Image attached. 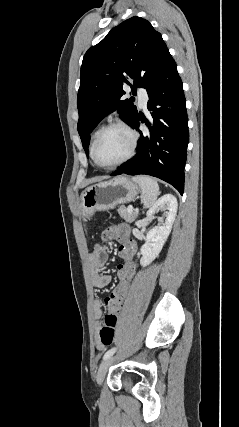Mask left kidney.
I'll use <instances>...</instances> for the list:
<instances>
[{
  "mask_svg": "<svg viewBox=\"0 0 239 427\" xmlns=\"http://www.w3.org/2000/svg\"><path fill=\"white\" fill-rule=\"evenodd\" d=\"M177 207V199L171 194H166L148 210L147 217L149 218L158 210L168 211L165 222L162 225L152 228L146 235L145 244L141 248V266L145 267L149 265L161 252L175 221Z\"/></svg>",
  "mask_w": 239,
  "mask_h": 427,
  "instance_id": "obj_1",
  "label": "left kidney"
}]
</instances>
